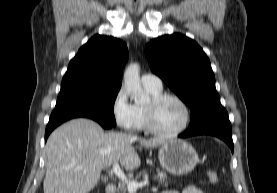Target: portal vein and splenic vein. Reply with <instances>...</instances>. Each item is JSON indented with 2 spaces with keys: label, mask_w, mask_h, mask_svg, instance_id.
Segmentation results:
<instances>
[{
  "label": "portal vein and splenic vein",
  "mask_w": 277,
  "mask_h": 193,
  "mask_svg": "<svg viewBox=\"0 0 277 193\" xmlns=\"http://www.w3.org/2000/svg\"><path fill=\"white\" fill-rule=\"evenodd\" d=\"M111 172L114 173L124 184H126L128 191L130 193H135L139 187L149 184V180L146 178L141 182H136L135 180L128 179L124 172L121 170L118 162H115L112 166Z\"/></svg>",
  "instance_id": "1"
}]
</instances>
